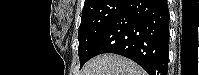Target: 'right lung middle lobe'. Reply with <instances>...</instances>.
Instances as JSON below:
<instances>
[{
	"mask_svg": "<svg viewBox=\"0 0 199 75\" xmlns=\"http://www.w3.org/2000/svg\"><path fill=\"white\" fill-rule=\"evenodd\" d=\"M126 2L127 0H105L99 6L83 9L78 31L80 68L92 58L95 45Z\"/></svg>",
	"mask_w": 199,
	"mask_h": 75,
	"instance_id": "1",
	"label": "right lung middle lobe"
}]
</instances>
